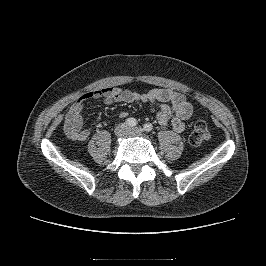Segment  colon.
<instances>
[{"label": "colon", "mask_w": 266, "mask_h": 266, "mask_svg": "<svg viewBox=\"0 0 266 266\" xmlns=\"http://www.w3.org/2000/svg\"><path fill=\"white\" fill-rule=\"evenodd\" d=\"M210 137V132L207 124L204 121H198L193 127L189 141L192 145H200L207 141Z\"/></svg>", "instance_id": "obj_1"}]
</instances>
